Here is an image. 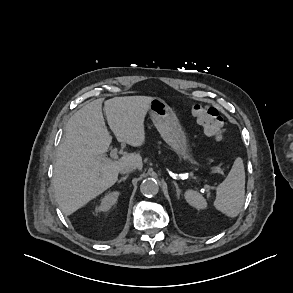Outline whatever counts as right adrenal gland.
I'll return each instance as SVG.
<instances>
[{"label":"right adrenal gland","instance_id":"right-adrenal-gland-1","mask_svg":"<svg viewBox=\"0 0 293 293\" xmlns=\"http://www.w3.org/2000/svg\"><path fill=\"white\" fill-rule=\"evenodd\" d=\"M128 178V175H125L120 180H118V183H121L122 181H125Z\"/></svg>","mask_w":293,"mask_h":293}]
</instances>
